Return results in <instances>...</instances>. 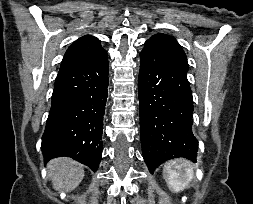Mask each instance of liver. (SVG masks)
Masks as SVG:
<instances>
[{"mask_svg":"<svg viewBox=\"0 0 253 204\" xmlns=\"http://www.w3.org/2000/svg\"><path fill=\"white\" fill-rule=\"evenodd\" d=\"M48 176L54 189L73 191L84 177V169L78 162L66 158H56L48 163Z\"/></svg>","mask_w":253,"mask_h":204,"instance_id":"1","label":"liver"}]
</instances>
